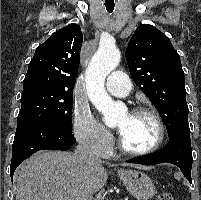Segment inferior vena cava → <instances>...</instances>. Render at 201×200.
<instances>
[{
  "instance_id": "602c4592",
  "label": "inferior vena cava",
  "mask_w": 201,
  "mask_h": 200,
  "mask_svg": "<svg viewBox=\"0 0 201 200\" xmlns=\"http://www.w3.org/2000/svg\"><path fill=\"white\" fill-rule=\"evenodd\" d=\"M77 154L79 161L82 163H92L97 162L99 159L93 154L91 149L84 143H79L77 146ZM93 195L92 193H89L88 190H85L81 200H92Z\"/></svg>"
}]
</instances>
